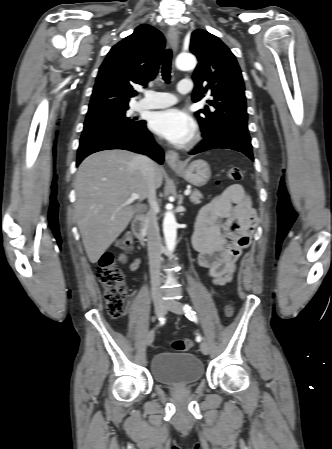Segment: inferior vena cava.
I'll use <instances>...</instances> for the list:
<instances>
[{
    "instance_id": "602c4592",
    "label": "inferior vena cava",
    "mask_w": 332,
    "mask_h": 449,
    "mask_svg": "<svg viewBox=\"0 0 332 449\" xmlns=\"http://www.w3.org/2000/svg\"><path fill=\"white\" fill-rule=\"evenodd\" d=\"M139 169L146 180L149 188L148 192V202L150 209L145 217V229L147 234V245H148V257L150 266V277L152 285L153 296H158L160 294V284H161V254L163 250L161 237L159 233V226L157 222L156 213V192L154 188V162L142 155H138L135 158Z\"/></svg>"
}]
</instances>
